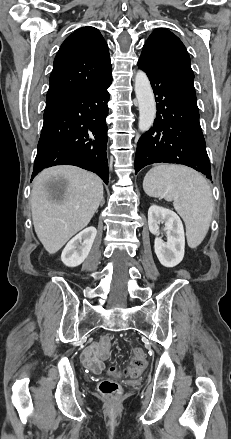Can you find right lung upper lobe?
<instances>
[{
	"label": "right lung upper lobe",
	"instance_id": "1",
	"mask_svg": "<svg viewBox=\"0 0 231 439\" xmlns=\"http://www.w3.org/2000/svg\"><path fill=\"white\" fill-rule=\"evenodd\" d=\"M110 77L106 41L96 28H80L66 38L54 59L45 109L104 83Z\"/></svg>",
	"mask_w": 231,
	"mask_h": 439
}]
</instances>
